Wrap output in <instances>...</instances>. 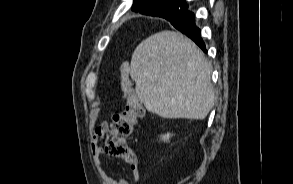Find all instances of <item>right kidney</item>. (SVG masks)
Instances as JSON below:
<instances>
[{
	"label": "right kidney",
	"mask_w": 293,
	"mask_h": 184,
	"mask_svg": "<svg viewBox=\"0 0 293 184\" xmlns=\"http://www.w3.org/2000/svg\"><path fill=\"white\" fill-rule=\"evenodd\" d=\"M169 138H170V133H167V134L162 136V140H164V141H168Z\"/></svg>",
	"instance_id": "1"
}]
</instances>
